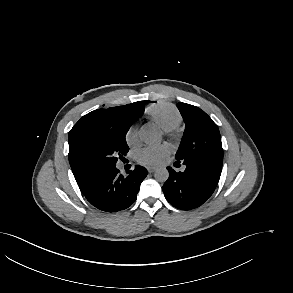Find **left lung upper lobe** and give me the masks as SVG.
Masks as SVG:
<instances>
[{"mask_svg": "<svg viewBox=\"0 0 293 293\" xmlns=\"http://www.w3.org/2000/svg\"><path fill=\"white\" fill-rule=\"evenodd\" d=\"M177 107L186 129L176 159L183 161L202 157L223 163L221 136L217 125L196 106L178 103Z\"/></svg>", "mask_w": 293, "mask_h": 293, "instance_id": "left-lung-upper-lobe-1", "label": "left lung upper lobe"}]
</instances>
